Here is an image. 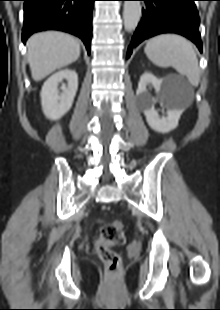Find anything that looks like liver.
Returning <instances> with one entry per match:
<instances>
[{"label":"liver","instance_id":"1","mask_svg":"<svg viewBox=\"0 0 220 310\" xmlns=\"http://www.w3.org/2000/svg\"><path fill=\"white\" fill-rule=\"evenodd\" d=\"M28 62L32 78L40 81L57 69L75 62L80 45L73 36L47 31L31 36L27 41Z\"/></svg>","mask_w":220,"mask_h":310}]
</instances>
